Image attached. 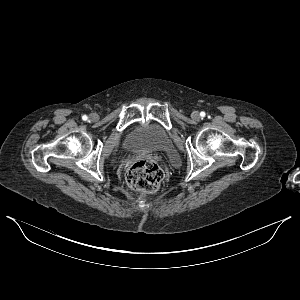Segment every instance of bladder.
<instances>
[{
  "mask_svg": "<svg viewBox=\"0 0 300 300\" xmlns=\"http://www.w3.org/2000/svg\"><path fill=\"white\" fill-rule=\"evenodd\" d=\"M168 131L156 122H146L133 129L126 139V146L135 152H156L170 147Z\"/></svg>",
  "mask_w": 300,
  "mask_h": 300,
  "instance_id": "obj_1",
  "label": "bladder"
}]
</instances>
